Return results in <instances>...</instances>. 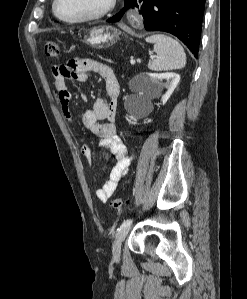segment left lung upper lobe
Listing matches in <instances>:
<instances>
[{"instance_id":"obj_1","label":"left lung upper lobe","mask_w":247,"mask_h":299,"mask_svg":"<svg viewBox=\"0 0 247 299\" xmlns=\"http://www.w3.org/2000/svg\"><path fill=\"white\" fill-rule=\"evenodd\" d=\"M132 0H124L125 4L124 6L128 5Z\"/></svg>"}]
</instances>
